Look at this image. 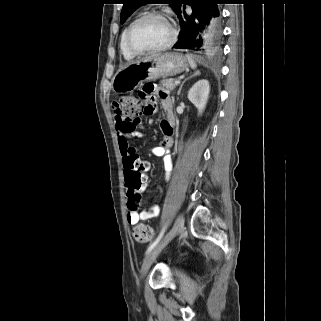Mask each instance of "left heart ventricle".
<instances>
[{
    "label": "left heart ventricle",
    "instance_id": "b2bd125f",
    "mask_svg": "<svg viewBox=\"0 0 321 321\" xmlns=\"http://www.w3.org/2000/svg\"><path fill=\"white\" fill-rule=\"evenodd\" d=\"M169 38L168 24L161 18L149 17L134 28L130 41L137 50H149L166 43Z\"/></svg>",
    "mask_w": 321,
    "mask_h": 321
}]
</instances>
